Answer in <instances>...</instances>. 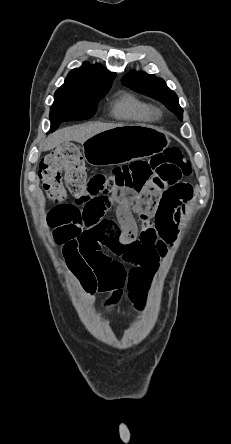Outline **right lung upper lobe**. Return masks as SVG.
<instances>
[{
  "label": "right lung upper lobe",
  "instance_id": "1",
  "mask_svg": "<svg viewBox=\"0 0 231 444\" xmlns=\"http://www.w3.org/2000/svg\"><path fill=\"white\" fill-rule=\"evenodd\" d=\"M116 74L107 71L100 64L92 66L84 62L81 68L73 69L65 83L58 90L96 92L109 89Z\"/></svg>",
  "mask_w": 231,
  "mask_h": 444
}]
</instances>
